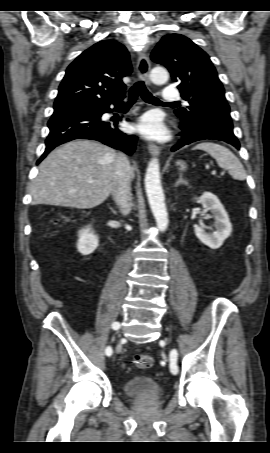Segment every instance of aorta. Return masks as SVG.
Segmentation results:
<instances>
[{"label":"aorta","instance_id":"1","mask_svg":"<svg viewBox=\"0 0 270 453\" xmlns=\"http://www.w3.org/2000/svg\"><path fill=\"white\" fill-rule=\"evenodd\" d=\"M150 78L155 84H163L168 80L169 74L165 68L155 67L150 73ZM145 189L157 228L165 231L168 226V214L161 186L159 161L156 158L149 162L146 169Z\"/></svg>","mask_w":270,"mask_h":453}]
</instances>
